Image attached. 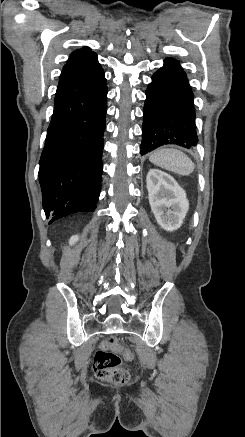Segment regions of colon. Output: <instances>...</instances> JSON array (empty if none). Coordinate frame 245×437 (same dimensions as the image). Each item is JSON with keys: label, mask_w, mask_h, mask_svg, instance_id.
<instances>
[{"label": "colon", "mask_w": 245, "mask_h": 437, "mask_svg": "<svg viewBox=\"0 0 245 437\" xmlns=\"http://www.w3.org/2000/svg\"><path fill=\"white\" fill-rule=\"evenodd\" d=\"M120 356L131 359L132 352L114 337L106 338L94 357L93 371L95 375L112 384L126 383L129 379V373L121 366Z\"/></svg>", "instance_id": "colon-1"}]
</instances>
